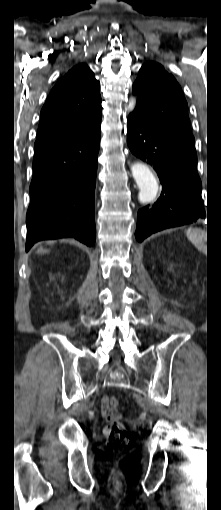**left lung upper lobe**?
<instances>
[{
  "mask_svg": "<svg viewBox=\"0 0 221 510\" xmlns=\"http://www.w3.org/2000/svg\"><path fill=\"white\" fill-rule=\"evenodd\" d=\"M139 96L134 112L155 130L184 148L195 151L187 102L176 79L156 62H146L133 84Z\"/></svg>",
  "mask_w": 221,
  "mask_h": 510,
  "instance_id": "left-lung-upper-lobe-1",
  "label": "left lung upper lobe"
}]
</instances>
